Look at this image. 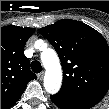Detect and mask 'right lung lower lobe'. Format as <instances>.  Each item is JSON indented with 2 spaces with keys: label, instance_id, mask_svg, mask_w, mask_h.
I'll use <instances>...</instances> for the list:
<instances>
[{
  "label": "right lung lower lobe",
  "instance_id": "98d812e1",
  "mask_svg": "<svg viewBox=\"0 0 109 109\" xmlns=\"http://www.w3.org/2000/svg\"><path fill=\"white\" fill-rule=\"evenodd\" d=\"M20 97H21V96H20ZM20 97H19V98H20ZM19 98H17L13 103H11V105H10L8 108H10L12 105H14V104L19 100ZM8 108H7V109H8Z\"/></svg>",
  "mask_w": 109,
  "mask_h": 109
}]
</instances>
